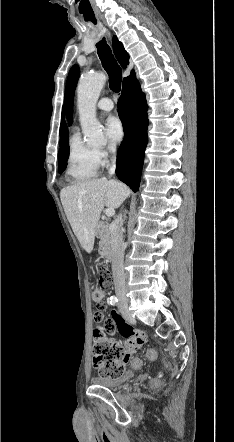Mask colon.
I'll return each mask as SVG.
<instances>
[{
    "mask_svg": "<svg viewBox=\"0 0 234 442\" xmlns=\"http://www.w3.org/2000/svg\"><path fill=\"white\" fill-rule=\"evenodd\" d=\"M97 275L99 280V287L92 290V300L98 305L99 309L102 307V300L104 297V289L112 287L113 278L109 268L100 264L97 268ZM95 344L93 348V364L103 377H117L121 375L125 369L126 364L131 365L134 369L142 367V359L137 357V351L132 349H123L122 344L108 339L103 333L94 332ZM144 356L147 361H155L157 358V351L153 346H148L144 350ZM153 388L159 387L158 381L152 382Z\"/></svg>",
    "mask_w": 234,
    "mask_h": 442,
    "instance_id": "colon-1",
    "label": "colon"
}]
</instances>
